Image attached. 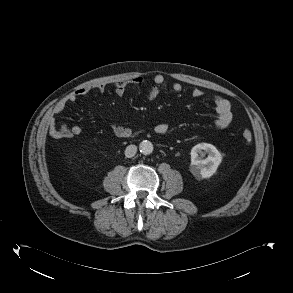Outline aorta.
<instances>
[{
	"mask_svg": "<svg viewBox=\"0 0 293 293\" xmlns=\"http://www.w3.org/2000/svg\"><path fill=\"white\" fill-rule=\"evenodd\" d=\"M140 152L149 155L153 152V144L148 140H143L139 145Z\"/></svg>",
	"mask_w": 293,
	"mask_h": 293,
	"instance_id": "1",
	"label": "aorta"
}]
</instances>
